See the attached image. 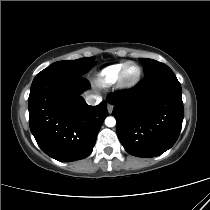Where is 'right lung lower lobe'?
Returning a JSON list of instances; mask_svg holds the SVG:
<instances>
[{
	"instance_id": "1",
	"label": "right lung lower lobe",
	"mask_w": 210,
	"mask_h": 210,
	"mask_svg": "<svg viewBox=\"0 0 210 210\" xmlns=\"http://www.w3.org/2000/svg\"><path fill=\"white\" fill-rule=\"evenodd\" d=\"M89 82L78 74H37L28 99L29 124L39 147L50 157L70 162L89 156L106 118L107 103L86 104L80 94Z\"/></svg>"
}]
</instances>
